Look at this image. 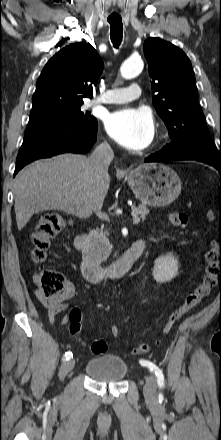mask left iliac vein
Masks as SVG:
<instances>
[{
	"mask_svg": "<svg viewBox=\"0 0 221 440\" xmlns=\"http://www.w3.org/2000/svg\"><path fill=\"white\" fill-rule=\"evenodd\" d=\"M157 384L154 375H149L146 378V383L144 385V396L148 400H152L156 396Z\"/></svg>",
	"mask_w": 221,
	"mask_h": 440,
	"instance_id": "left-iliac-vein-1",
	"label": "left iliac vein"
}]
</instances>
